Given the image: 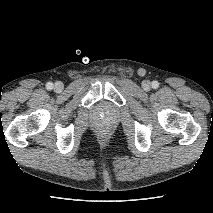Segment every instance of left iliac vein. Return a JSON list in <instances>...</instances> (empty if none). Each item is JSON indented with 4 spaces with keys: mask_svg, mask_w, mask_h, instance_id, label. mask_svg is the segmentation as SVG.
Here are the masks:
<instances>
[{
    "mask_svg": "<svg viewBox=\"0 0 213 213\" xmlns=\"http://www.w3.org/2000/svg\"><path fill=\"white\" fill-rule=\"evenodd\" d=\"M142 87L144 90H149L150 89V82L148 80L143 81Z\"/></svg>",
    "mask_w": 213,
    "mask_h": 213,
    "instance_id": "left-iliac-vein-1",
    "label": "left iliac vein"
}]
</instances>
